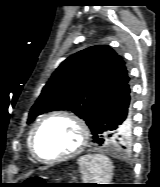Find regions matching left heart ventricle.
Masks as SVG:
<instances>
[{
    "instance_id": "1",
    "label": "left heart ventricle",
    "mask_w": 160,
    "mask_h": 187,
    "mask_svg": "<svg viewBox=\"0 0 160 187\" xmlns=\"http://www.w3.org/2000/svg\"><path fill=\"white\" fill-rule=\"evenodd\" d=\"M77 126L65 117H53L40 128L36 149L43 159H54L71 152L79 144Z\"/></svg>"
}]
</instances>
